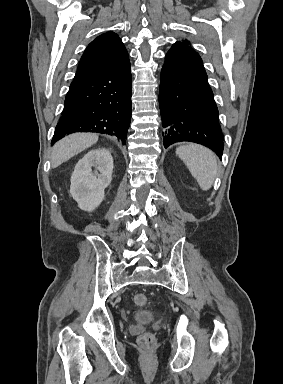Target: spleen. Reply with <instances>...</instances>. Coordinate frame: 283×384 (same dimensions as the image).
Instances as JSON below:
<instances>
[{
	"label": "spleen",
	"mask_w": 283,
	"mask_h": 384,
	"mask_svg": "<svg viewBox=\"0 0 283 384\" xmlns=\"http://www.w3.org/2000/svg\"><path fill=\"white\" fill-rule=\"evenodd\" d=\"M177 156L187 166L193 178L197 180L202 190H210L217 176L218 166L215 154L198 144L180 146L176 150Z\"/></svg>",
	"instance_id": "spleen-1"
}]
</instances>
